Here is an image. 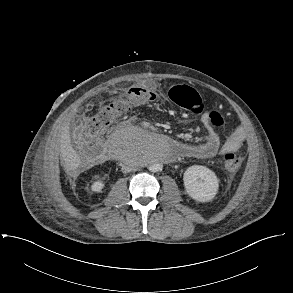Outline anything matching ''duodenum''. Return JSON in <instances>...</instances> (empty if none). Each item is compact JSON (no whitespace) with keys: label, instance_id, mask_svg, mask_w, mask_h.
I'll return each instance as SVG.
<instances>
[{"label":"duodenum","instance_id":"duodenum-1","mask_svg":"<svg viewBox=\"0 0 293 293\" xmlns=\"http://www.w3.org/2000/svg\"><path fill=\"white\" fill-rule=\"evenodd\" d=\"M166 138L170 143H172L174 145V147L178 150V153L172 155L170 158L162 157V158H160V160L167 161V162L171 163V162L176 161L178 159V157H182L181 156L182 151L186 150L187 146L183 142H181L173 137H166Z\"/></svg>","mask_w":293,"mask_h":293}]
</instances>
